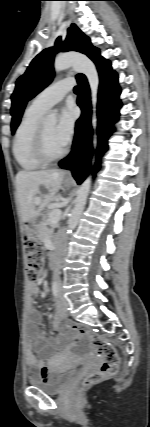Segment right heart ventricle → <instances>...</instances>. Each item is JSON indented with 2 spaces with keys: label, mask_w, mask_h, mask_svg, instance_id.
Instances as JSON below:
<instances>
[{
  "label": "right heart ventricle",
  "mask_w": 150,
  "mask_h": 427,
  "mask_svg": "<svg viewBox=\"0 0 150 427\" xmlns=\"http://www.w3.org/2000/svg\"><path fill=\"white\" fill-rule=\"evenodd\" d=\"M43 114L30 106L17 127L13 140V155L24 171H35L43 167L33 153L35 134Z\"/></svg>",
  "instance_id": "e07e8e85"
}]
</instances>
